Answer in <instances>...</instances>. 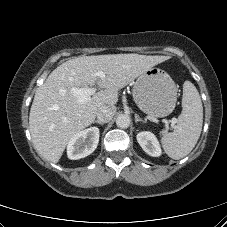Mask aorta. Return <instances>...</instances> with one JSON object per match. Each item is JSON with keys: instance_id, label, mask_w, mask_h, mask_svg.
Returning <instances> with one entry per match:
<instances>
[{"instance_id": "762f6f07", "label": "aorta", "mask_w": 227, "mask_h": 227, "mask_svg": "<svg viewBox=\"0 0 227 227\" xmlns=\"http://www.w3.org/2000/svg\"><path fill=\"white\" fill-rule=\"evenodd\" d=\"M130 122H131L130 117L125 114L119 115L116 119L117 127L122 128V129L128 128L130 125Z\"/></svg>"}]
</instances>
